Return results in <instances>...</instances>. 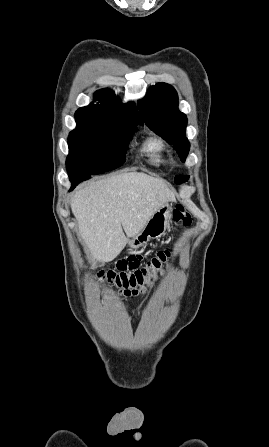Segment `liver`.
I'll return each instance as SVG.
<instances>
[{"mask_svg":"<svg viewBox=\"0 0 269 447\" xmlns=\"http://www.w3.org/2000/svg\"><path fill=\"white\" fill-rule=\"evenodd\" d=\"M166 202H175V194L165 180L143 172L121 170L75 192L71 210L92 263L115 259Z\"/></svg>","mask_w":269,"mask_h":447,"instance_id":"obj_1","label":"liver"}]
</instances>
